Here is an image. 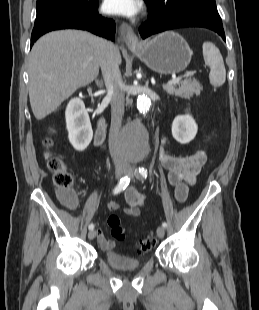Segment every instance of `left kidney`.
<instances>
[{"instance_id": "5707ae66", "label": "left kidney", "mask_w": 259, "mask_h": 310, "mask_svg": "<svg viewBox=\"0 0 259 310\" xmlns=\"http://www.w3.org/2000/svg\"><path fill=\"white\" fill-rule=\"evenodd\" d=\"M198 131L197 124L189 114L175 117L172 123V136L180 144H187L192 141Z\"/></svg>"}]
</instances>
